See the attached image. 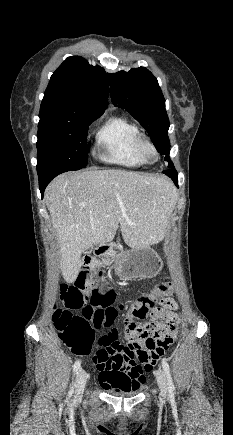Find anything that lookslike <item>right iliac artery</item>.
Wrapping results in <instances>:
<instances>
[{"mask_svg": "<svg viewBox=\"0 0 233 435\" xmlns=\"http://www.w3.org/2000/svg\"><path fill=\"white\" fill-rule=\"evenodd\" d=\"M80 366H81L80 361H76V362L74 363V365H73V371H74V373L77 372V370L80 368ZM73 393H74V389H73V387H72V388L70 389V391H69V396H71Z\"/></svg>", "mask_w": 233, "mask_h": 435, "instance_id": "obj_1", "label": "right iliac artery"}]
</instances>
